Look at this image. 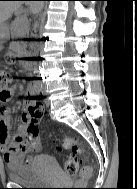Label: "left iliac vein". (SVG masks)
Instances as JSON below:
<instances>
[{
	"label": "left iliac vein",
	"mask_w": 137,
	"mask_h": 189,
	"mask_svg": "<svg viewBox=\"0 0 137 189\" xmlns=\"http://www.w3.org/2000/svg\"><path fill=\"white\" fill-rule=\"evenodd\" d=\"M42 93L46 94L44 89L42 90ZM45 104H46V106H49L50 105V101L48 99H46L45 100Z\"/></svg>",
	"instance_id": "left-iliac-vein-1"
}]
</instances>
